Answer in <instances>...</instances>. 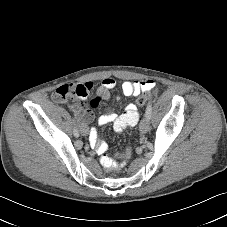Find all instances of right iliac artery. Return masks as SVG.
<instances>
[{"mask_svg": "<svg viewBox=\"0 0 227 227\" xmlns=\"http://www.w3.org/2000/svg\"><path fill=\"white\" fill-rule=\"evenodd\" d=\"M73 134H74L75 137L79 136V132H78L77 128L73 129Z\"/></svg>", "mask_w": 227, "mask_h": 227, "instance_id": "1", "label": "right iliac artery"}]
</instances>
